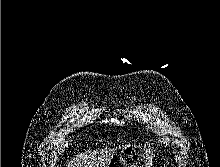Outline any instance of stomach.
<instances>
[{
	"label": "stomach",
	"instance_id": "1",
	"mask_svg": "<svg viewBox=\"0 0 220 167\" xmlns=\"http://www.w3.org/2000/svg\"><path fill=\"white\" fill-rule=\"evenodd\" d=\"M154 152L137 145H123L111 155L106 167H150Z\"/></svg>",
	"mask_w": 220,
	"mask_h": 167
}]
</instances>
